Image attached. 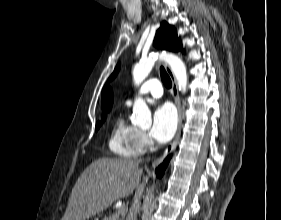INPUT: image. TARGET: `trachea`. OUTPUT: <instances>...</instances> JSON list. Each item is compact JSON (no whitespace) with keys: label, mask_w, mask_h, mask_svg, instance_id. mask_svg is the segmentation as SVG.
Returning <instances> with one entry per match:
<instances>
[{"label":"trachea","mask_w":281,"mask_h":220,"mask_svg":"<svg viewBox=\"0 0 281 220\" xmlns=\"http://www.w3.org/2000/svg\"><path fill=\"white\" fill-rule=\"evenodd\" d=\"M160 75L164 85L167 88H170L172 86V81L170 79V76L167 74L166 70L164 69V67H160Z\"/></svg>","instance_id":"obj_1"}]
</instances>
